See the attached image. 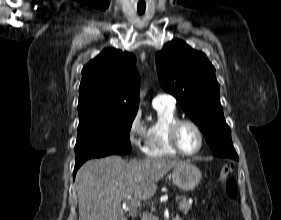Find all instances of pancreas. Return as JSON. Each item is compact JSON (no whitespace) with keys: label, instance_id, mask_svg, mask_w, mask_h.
Listing matches in <instances>:
<instances>
[{"label":"pancreas","instance_id":"cf45deb5","mask_svg":"<svg viewBox=\"0 0 281 220\" xmlns=\"http://www.w3.org/2000/svg\"><path fill=\"white\" fill-rule=\"evenodd\" d=\"M178 208L182 213L186 214L192 208V203H190L186 197H182L178 204Z\"/></svg>","mask_w":281,"mask_h":220}]
</instances>
